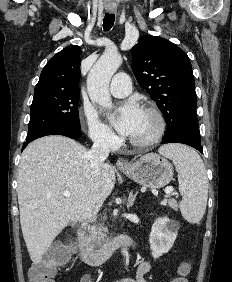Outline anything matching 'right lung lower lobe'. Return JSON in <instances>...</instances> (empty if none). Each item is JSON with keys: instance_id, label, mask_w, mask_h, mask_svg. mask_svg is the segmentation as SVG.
<instances>
[{"instance_id": "obj_1", "label": "right lung lower lobe", "mask_w": 232, "mask_h": 282, "mask_svg": "<svg viewBox=\"0 0 232 282\" xmlns=\"http://www.w3.org/2000/svg\"><path fill=\"white\" fill-rule=\"evenodd\" d=\"M47 135H64L72 139H76L81 137L82 132L80 131V129H76L68 125H55L48 127L32 135H29L27 137V141L23 144L22 150L27 146L29 142Z\"/></svg>"}]
</instances>
